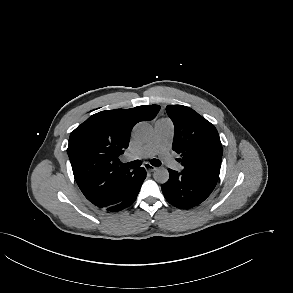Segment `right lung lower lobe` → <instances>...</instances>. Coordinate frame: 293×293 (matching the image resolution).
Returning <instances> with one entry per match:
<instances>
[{"instance_id":"98d812e1","label":"right lung lower lobe","mask_w":293,"mask_h":293,"mask_svg":"<svg viewBox=\"0 0 293 293\" xmlns=\"http://www.w3.org/2000/svg\"><path fill=\"white\" fill-rule=\"evenodd\" d=\"M137 173H136V179L135 182L132 186V189L129 191V193L126 195V197L119 203L109 206L106 209L108 211H120L123 210L125 208H127L128 206H130L137 198V195L139 193V190L141 188V185L143 183V181L146 178V171L143 167L136 169Z\"/></svg>"}]
</instances>
